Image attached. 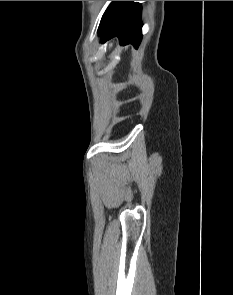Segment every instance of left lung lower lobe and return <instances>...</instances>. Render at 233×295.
I'll list each match as a JSON object with an SVG mask.
<instances>
[{
  "label": "left lung lower lobe",
  "instance_id": "obj_1",
  "mask_svg": "<svg viewBox=\"0 0 233 295\" xmlns=\"http://www.w3.org/2000/svg\"><path fill=\"white\" fill-rule=\"evenodd\" d=\"M141 5L133 1H112L102 16L99 34L104 43L118 36L121 45L136 48L142 39Z\"/></svg>",
  "mask_w": 233,
  "mask_h": 295
}]
</instances>
